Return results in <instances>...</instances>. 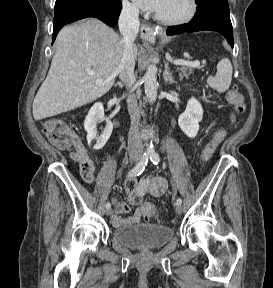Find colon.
I'll use <instances>...</instances> for the list:
<instances>
[{
	"mask_svg": "<svg viewBox=\"0 0 273 288\" xmlns=\"http://www.w3.org/2000/svg\"><path fill=\"white\" fill-rule=\"evenodd\" d=\"M227 102L233 106L236 112L243 113L246 109L244 97L237 87L231 88L226 93ZM43 133L48 140L59 149H69L78 141L76 134L61 119H49L43 124ZM226 137L224 129L218 130L211 139H209L202 151V160L208 161L220 143ZM141 209L147 218H158L157 209L151 203H143Z\"/></svg>",
	"mask_w": 273,
	"mask_h": 288,
	"instance_id": "5ec220e1",
	"label": "colon"
}]
</instances>
